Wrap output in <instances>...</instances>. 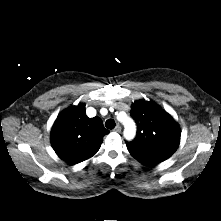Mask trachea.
Masks as SVG:
<instances>
[{"label":"trachea","mask_w":221,"mask_h":221,"mask_svg":"<svg viewBox=\"0 0 221 221\" xmlns=\"http://www.w3.org/2000/svg\"><path fill=\"white\" fill-rule=\"evenodd\" d=\"M116 123L113 119H108L106 122H105V126L108 128V129H113L115 127Z\"/></svg>","instance_id":"trachea-1"}]
</instances>
